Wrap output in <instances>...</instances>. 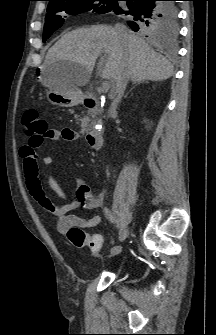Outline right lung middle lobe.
<instances>
[{"instance_id":"1","label":"right lung middle lobe","mask_w":216,"mask_h":335,"mask_svg":"<svg viewBox=\"0 0 216 335\" xmlns=\"http://www.w3.org/2000/svg\"><path fill=\"white\" fill-rule=\"evenodd\" d=\"M119 1L120 0H61L50 3L45 19L43 41L45 42L55 30L62 26L64 18L60 15L61 12L76 15L84 11L93 10L94 12L104 14L116 8ZM166 5L176 7L174 2H167ZM143 31L153 35H176L178 26H175L173 29H165L161 33H157V27H151Z\"/></svg>"}]
</instances>
